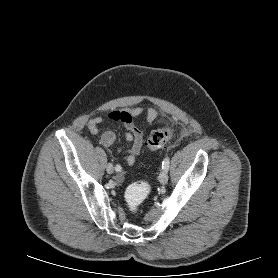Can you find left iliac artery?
<instances>
[{
    "label": "left iliac artery",
    "instance_id": "1",
    "mask_svg": "<svg viewBox=\"0 0 278 278\" xmlns=\"http://www.w3.org/2000/svg\"><path fill=\"white\" fill-rule=\"evenodd\" d=\"M169 163H170L169 157H166L162 162V169L165 170V171H168Z\"/></svg>",
    "mask_w": 278,
    "mask_h": 278
}]
</instances>
